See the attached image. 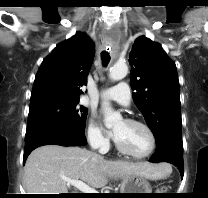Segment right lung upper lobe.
Returning a JSON list of instances; mask_svg holds the SVG:
<instances>
[{
	"label": "right lung upper lobe",
	"instance_id": "1",
	"mask_svg": "<svg viewBox=\"0 0 208 198\" xmlns=\"http://www.w3.org/2000/svg\"><path fill=\"white\" fill-rule=\"evenodd\" d=\"M93 58L94 45L85 33L78 32L58 44L37 72L30 107L50 101H79Z\"/></svg>",
	"mask_w": 208,
	"mask_h": 198
}]
</instances>
